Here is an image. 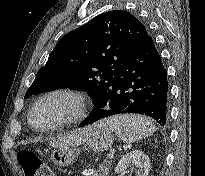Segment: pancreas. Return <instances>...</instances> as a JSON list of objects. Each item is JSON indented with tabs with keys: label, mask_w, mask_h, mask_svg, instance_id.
Returning <instances> with one entry per match:
<instances>
[{
	"label": "pancreas",
	"mask_w": 205,
	"mask_h": 176,
	"mask_svg": "<svg viewBox=\"0 0 205 176\" xmlns=\"http://www.w3.org/2000/svg\"><path fill=\"white\" fill-rule=\"evenodd\" d=\"M111 164L112 161L104 160V162L99 165L97 172H93L92 176H108Z\"/></svg>",
	"instance_id": "obj_1"
}]
</instances>
